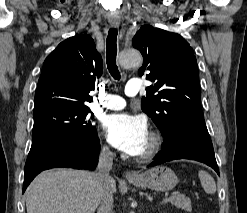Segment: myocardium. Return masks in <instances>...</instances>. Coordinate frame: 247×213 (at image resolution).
I'll list each match as a JSON object with an SVG mask.
<instances>
[{"instance_id":"myocardium-1","label":"myocardium","mask_w":247,"mask_h":213,"mask_svg":"<svg viewBox=\"0 0 247 213\" xmlns=\"http://www.w3.org/2000/svg\"><path fill=\"white\" fill-rule=\"evenodd\" d=\"M150 143L145 153L137 157V160L142 163L152 161L161 151L163 140L159 133L150 132L149 134Z\"/></svg>"}]
</instances>
